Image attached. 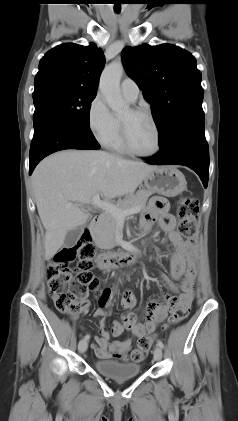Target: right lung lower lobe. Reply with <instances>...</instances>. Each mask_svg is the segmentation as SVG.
<instances>
[{"label": "right lung lower lobe", "mask_w": 238, "mask_h": 421, "mask_svg": "<svg viewBox=\"0 0 238 421\" xmlns=\"http://www.w3.org/2000/svg\"><path fill=\"white\" fill-rule=\"evenodd\" d=\"M100 145L94 137H89L68 123L53 116L43 117L34 126V136L30 147L29 174L46 156L60 150L98 149Z\"/></svg>", "instance_id": "obj_1"}]
</instances>
